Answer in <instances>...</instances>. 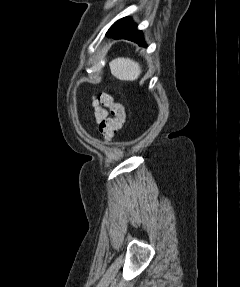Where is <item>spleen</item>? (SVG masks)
<instances>
[{"label":"spleen","mask_w":240,"mask_h":287,"mask_svg":"<svg viewBox=\"0 0 240 287\" xmlns=\"http://www.w3.org/2000/svg\"><path fill=\"white\" fill-rule=\"evenodd\" d=\"M111 74L121 81H135L141 74L139 63L119 57L109 63Z\"/></svg>","instance_id":"spleen-1"}]
</instances>
